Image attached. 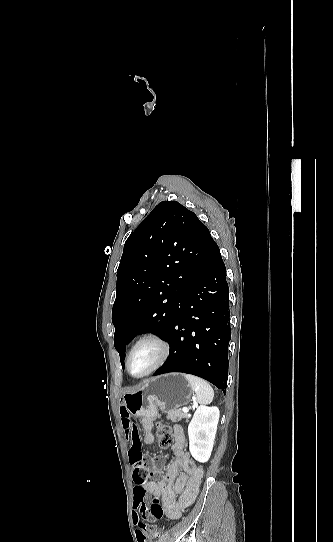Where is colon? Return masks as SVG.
<instances>
[{
	"label": "colon",
	"mask_w": 333,
	"mask_h": 542,
	"mask_svg": "<svg viewBox=\"0 0 333 542\" xmlns=\"http://www.w3.org/2000/svg\"><path fill=\"white\" fill-rule=\"evenodd\" d=\"M158 445L161 448L171 447L176 440V435L165 423H157L154 426ZM129 466L134 469V478L140 483L134 485L135 510L132 512L130 521L132 524H139V534L143 533L147 538H152L159 531L157 522L163 518L164 511L157 499L147 501V485L144 482L152 472L141 458H131ZM155 464V469L157 470Z\"/></svg>",
	"instance_id": "colon-1"
}]
</instances>
